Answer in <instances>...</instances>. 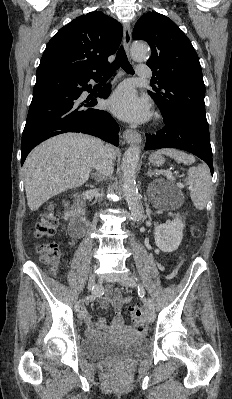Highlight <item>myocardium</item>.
<instances>
[{"label":"myocardium","mask_w":232,"mask_h":399,"mask_svg":"<svg viewBox=\"0 0 232 399\" xmlns=\"http://www.w3.org/2000/svg\"><path fill=\"white\" fill-rule=\"evenodd\" d=\"M160 123H161V118L158 117V118L156 119V121H155V125H159Z\"/></svg>","instance_id":"myocardium-1"}]
</instances>
